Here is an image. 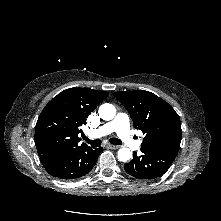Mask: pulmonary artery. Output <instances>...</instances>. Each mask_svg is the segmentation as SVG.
I'll use <instances>...</instances> for the list:
<instances>
[{"label": "pulmonary artery", "instance_id": "pulmonary-artery-1", "mask_svg": "<svg viewBox=\"0 0 221 221\" xmlns=\"http://www.w3.org/2000/svg\"><path fill=\"white\" fill-rule=\"evenodd\" d=\"M116 132L122 142L130 148L138 149L140 142L135 140L129 128V118L126 114H118L112 121L104 124L103 126L92 129L87 132L90 138H100Z\"/></svg>", "mask_w": 221, "mask_h": 221}]
</instances>
